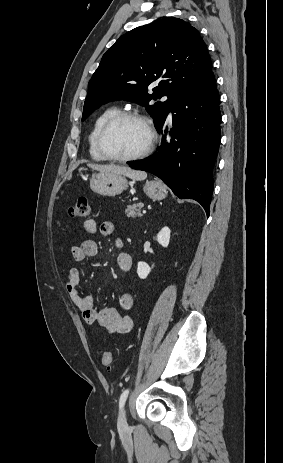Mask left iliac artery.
I'll list each match as a JSON object with an SVG mask.
<instances>
[{
    "label": "left iliac artery",
    "instance_id": "obj_1",
    "mask_svg": "<svg viewBox=\"0 0 283 463\" xmlns=\"http://www.w3.org/2000/svg\"><path fill=\"white\" fill-rule=\"evenodd\" d=\"M129 394V389H125L119 399V409L121 410L126 402V399Z\"/></svg>",
    "mask_w": 283,
    "mask_h": 463
}]
</instances>
